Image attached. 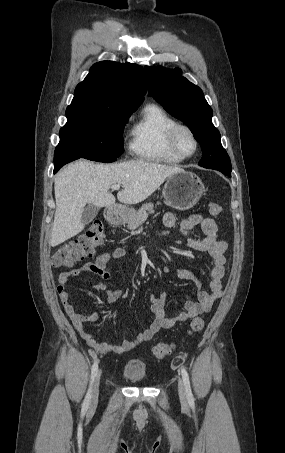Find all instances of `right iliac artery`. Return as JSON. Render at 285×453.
Listing matches in <instances>:
<instances>
[{"mask_svg":"<svg viewBox=\"0 0 285 453\" xmlns=\"http://www.w3.org/2000/svg\"><path fill=\"white\" fill-rule=\"evenodd\" d=\"M97 370H98V361H96L93 364L92 369H91V382H90L89 390L87 392V395H86V397L84 399V402H83V405H82V411L83 412H86L88 407H89L90 400H91L92 385H93V382H94L95 377L97 375Z\"/></svg>","mask_w":285,"mask_h":453,"instance_id":"1","label":"right iliac artery"}]
</instances>
